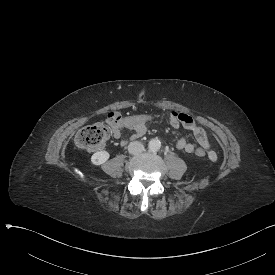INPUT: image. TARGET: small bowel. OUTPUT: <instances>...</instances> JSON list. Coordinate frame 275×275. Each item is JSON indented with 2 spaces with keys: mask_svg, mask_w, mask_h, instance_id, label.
<instances>
[{
  "mask_svg": "<svg viewBox=\"0 0 275 275\" xmlns=\"http://www.w3.org/2000/svg\"><path fill=\"white\" fill-rule=\"evenodd\" d=\"M168 114L171 116V126L173 128H179L180 126H183L184 129H186L194 134L197 142L203 149L209 151V153H208L209 158L211 155L215 154V152L210 150V143H209V140H208V137H207L205 131L195 123L194 119L189 114L176 112L174 109H170L168 111ZM120 116H121V113L117 112L115 114H111L110 118L116 119V118H119ZM123 129H129L132 131V134H131L132 139L140 138L146 132L145 120L143 122H140L139 124H134L131 126H128V125H124L121 127L114 126L113 132H114L115 137H117V138L122 137ZM175 147L179 150H184L187 153H192L194 150V145L192 143L188 142L185 137L179 138L175 144ZM216 158H217V156H216ZM210 160H212V159L210 158ZM215 160L216 159H214L212 161H215Z\"/></svg>",
  "mask_w": 275,
  "mask_h": 275,
  "instance_id": "small-bowel-1",
  "label": "small bowel"
}]
</instances>
